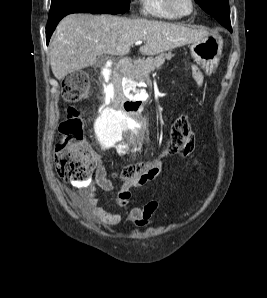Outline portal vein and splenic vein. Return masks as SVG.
Returning a JSON list of instances; mask_svg holds the SVG:
<instances>
[{"instance_id": "obj_1", "label": "portal vein and splenic vein", "mask_w": 267, "mask_h": 298, "mask_svg": "<svg viewBox=\"0 0 267 298\" xmlns=\"http://www.w3.org/2000/svg\"><path fill=\"white\" fill-rule=\"evenodd\" d=\"M140 44H142L141 40H138V41L135 42V45H140Z\"/></svg>"}]
</instances>
